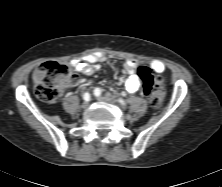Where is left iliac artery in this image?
Wrapping results in <instances>:
<instances>
[{
	"mask_svg": "<svg viewBox=\"0 0 222 187\" xmlns=\"http://www.w3.org/2000/svg\"><path fill=\"white\" fill-rule=\"evenodd\" d=\"M101 92H102V90H101L100 88H96V89L94 90V94H95L96 96H99V95L101 94ZM118 101H119L122 105H126V103H125V101H124L123 99L119 98Z\"/></svg>",
	"mask_w": 222,
	"mask_h": 187,
	"instance_id": "left-iliac-artery-1",
	"label": "left iliac artery"
}]
</instances>
